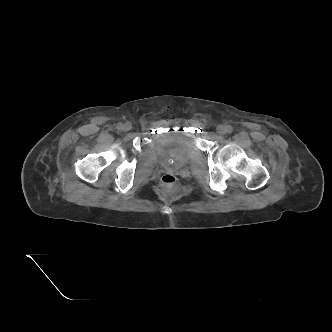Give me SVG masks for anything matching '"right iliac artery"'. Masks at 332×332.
I'll return each mask as SVG.
<instances>
[{
    "instance_id": "right-iliac-artery-1",
    "label": "right iliac artery",
    "mask_w": 332,
    "mask_h": 332,
    "mask_svg": "<svg viewBox=\"0 0 332 332\" xmlns=\"http://www.w3.org/2000/svg\"><path fill=\"white\" fill-rule=\"evenodd\" d=\"M117 129H118V130L122 129V124H121V123H118V124H117Z\"/></svg>"
}]
</instances>
